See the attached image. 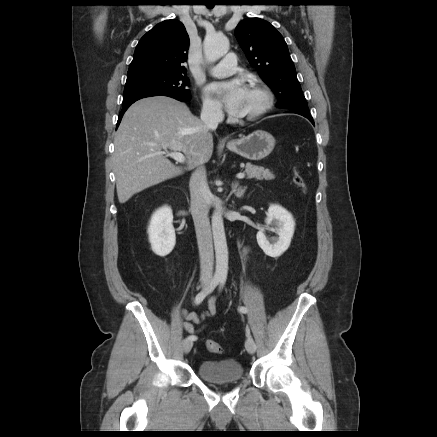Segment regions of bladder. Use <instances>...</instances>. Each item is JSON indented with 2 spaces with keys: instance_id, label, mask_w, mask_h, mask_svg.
<instances>
[{
  "instance_id": "bladder-1",
  "label": "bladder",
  "mask_w": 437,
  "mask_h": 437,
  "mask_svg": "<svg viewBox=\"0 0 437 437\" xmlns=\"http://www.w3.org/2000/svg\"><path fill=\"white\" fill-rule=\"evenodd\" d=\"M198 376L213 383L239 381L244 376L242 364L234 359L202 361L197 367Z\"/></svg>"
}]
</instances>
